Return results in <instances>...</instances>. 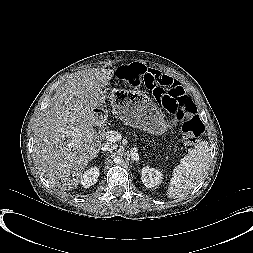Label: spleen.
<instances>
[{"label": "spleen", "instance_id": "1", "mask_svg": "<svg viewBox=\"0 0 253 253\" xmlns=\"http://www.w3.org/2000/svg\"><path fill=\"white\" fill-rule=\"evenodd\" d=\"M209 161L208 142L202 141L195 148L190 149L186 158L182 159L173 170L167 196L176 199L188 195L202 181Z\"/></svg>", "mask_w": 253, "mask_h": 253}]
</instances>
